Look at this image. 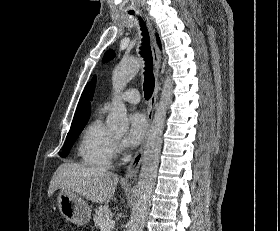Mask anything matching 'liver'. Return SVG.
<instances>
[{
    "mask_svg": "<svg viewBox=\"0 0 280 231\" xmlns=\"http://www.w3.org/2000/svg\"><path fill=\"white\" fill-rule=\"evenodd\" d=\"M118 181V175L112 171H98L79 163H61L50 181L48 195L50 197L56 189H63L95 203H108L110 199L116 201L114 193Z\"/></svg>",
    "mask_w": 280,
    "mask_h": 231,
    "instance_id": "1",
    "label": "liver"
}]
</instances>
